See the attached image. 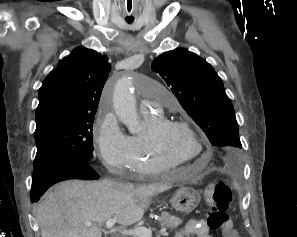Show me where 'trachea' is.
Listing matches in <instances>:
<instances>
[{
    "instance_id": "obj_1",
    "label": "trachea",
    "mask_w": 297,
    "mask_h": 237,
    "mask_svg": "<svg viewBox=\"0 0 297 237\" xmlns=\"http://www.w3.org/2000/svg\"><path fill=\"white\" fill-rule=\"evenodd\" d=\"M128 23H131L132 21H127Z\"/></svg>"
}]
</instances>
